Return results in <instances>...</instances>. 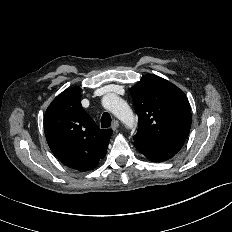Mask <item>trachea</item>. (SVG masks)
Segmentation results:
<instances>
[{"instance_id": "3493384b", "label": "trachea", "mask_w": 232, "mask_h": 232, "mask_svg": "<svg viewBox=\"0 0 232 232\" xmlns=\"http://www.w3.org/2000/svg\"><path fill=\"white\" fill-rule=\"evenodd\" d=\"M111 126V116L109 113L104 112L101 117V127L108 128Z\"/></svg>"}]
</instances>
